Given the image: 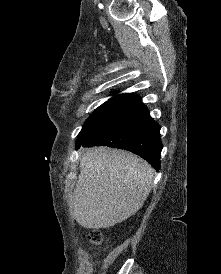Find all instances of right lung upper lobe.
Segmentation results:
<instances>
[{"label": "right lung upper lobe", "instance_id": "obj_1", "mask_svg": "<svg viewBox=\"0 0 221 274\" xmlns=\"http://www.w3.org/2000/svg\"><path fill=\"white\" fill-rule=\"evenodd\" d=\"M114 100H129V101H136L139 99V96L133 95V94H120V95H116L113 98Z\"/></svg>", "mask_w": 221, "mask_h": 274}]
</instances>
